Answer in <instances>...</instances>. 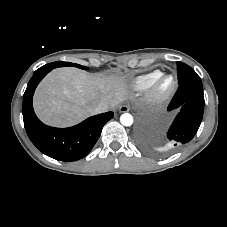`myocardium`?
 <instances>
[{"label":"myocardium","instance_id":"1","mask_svg":"<svg viewBox=\"0 0 227 227\" xmlns=\"http://www.w3.org/2000/svg\"><path fill=\"white\" fill-rule=\"evenodd\" d=\"M176 84L174 75L161 74L150 86L149 96L154 102H162L174 92Z\"/></svg>","mask_w":227,"mask_h":227}]
</instances>
